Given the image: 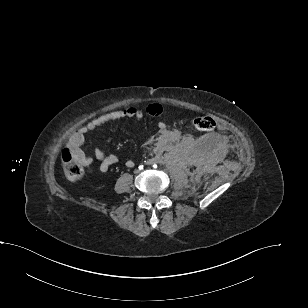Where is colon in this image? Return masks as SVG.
Instances as JSON below:
<instances>
[{
  "label": "colon",
  "instance_id": "1",
  "mask_svg": "<svg viewBox=\"0 0 308 308\" xmlns=\"http://www.w3.org/2000/svg\"><path fill=\"white\" fill-rule=\"evenodd\" d=\"M195 129L201 132H209L215 128V121L208 115H197L192 120ZM62 163L66 177L71 180H77L84 174V164L77 160L72 152L66 148L62 153Z\"/></svg>",
  "mask_w": 308,
  "mask_h": 308
}]
</instances>
